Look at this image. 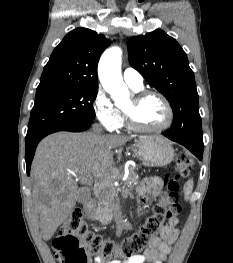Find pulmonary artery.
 <instances>
[{
	"label": "pulmonary artery",
	"mask_w": 233,
	"mask_h": 263,
	"mask_svg": "<svg viewBox=\"0 0 233 263\" xmlns=\"http://www.w3.org/2000/svg\"><path fill=\"white\" fill-rule=\"evenodd\" d=\"M123 79L125 83L134 89H140L143 87V77L134 68L128 67L123 71Z\"/></svg>",
	"instance_id": "e3ab8cb5"
}]
</instances>
